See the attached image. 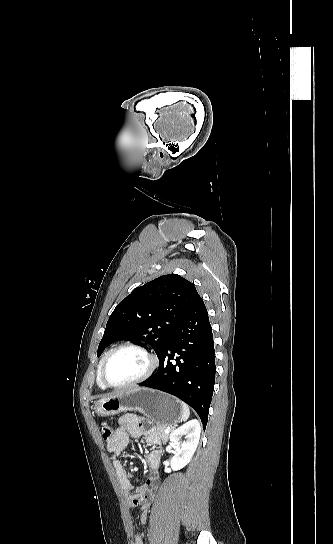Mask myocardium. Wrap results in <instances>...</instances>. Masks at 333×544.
Segmentation results:
<instances>
[{
  "instance_id": "f54148a6",
  "label": "myocardium",
  "mask_w": 333,
  "mask_h": 544,
  "mask_svg": "<svg viewBox=\"0 0 333 544\" xmlns=\"http://www.w3.org/2000/svg\"><path fill=\"white\" fill-rule=\"evenodd\" d=\"M124 349L136 350V351L142 353L147 359L146 369L140 376H138L137 378H135V379H133L131 381H128V382L122 383V384H112L106 378L107 365H108L110 359L113 357L114 354H116L117 352H119L121 350H124ZM157 366H158V358L156 357L155 354H153L146 347H144L143 345L137 344V343H123V344H120V345L116 346L111 351H109L108 354L106 355V357L104 358V360L102 362V365H101V368H100V379H101L102 383L106 387H109V388H113V389L128 388V387L135 386L137 384H140V383L146 381L154 373Z\"/></svg>"
}]
</instances>
